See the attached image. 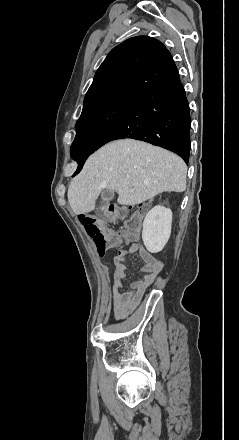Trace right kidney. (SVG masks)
Wrapping results in <instances>:
<instances>
[{
    "mask_svg": "<svg viewBox=\"0 0 239 440\" xmlns=\"http://www.w3.org/2000/svg\"><path fill=\"white\" fill-rule=\"evenodd\" d=\"M172 212L169 208L155 206L146 214L143 222L142 240L149 253H160L171 236Z\"/></svg>",
    "mask_w": 239,
    "mask_h": 440,
    "instance_id": "ca27d5eb",
    "label": "right kidney"
}]
</instances>
